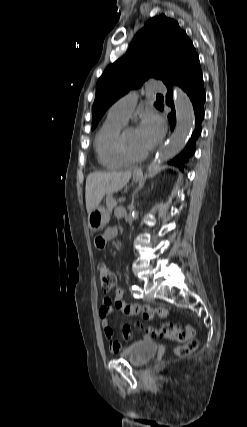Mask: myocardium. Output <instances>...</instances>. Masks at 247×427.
I'll use <instances>...</instances> for the list:
<instances>
[{
  "label": "myocardium",
  "mask_w": 247,
  "mask_h": 427,
  "mask_svg": "<svg viewBox=\"0 0 247 427\" xmlns=\"http://www.w3.org/2000/svg\"><path fill=\"white\" fill-rule=\"evenodd\" d=\"M133 128L130 125H124L123 128L121 129L119 135H118V139H117V148H118V152L120 154V156L128 163H136V162H140L143 161L144 159H146L148 157V155L150 154V150H146L145 152L135 155L132 154L130 152V150L128 149L127 146V142H126V134L127 131Z\"/></svg>",
  "instance_id": "obj_1"
}]
</instances>
